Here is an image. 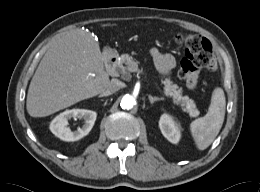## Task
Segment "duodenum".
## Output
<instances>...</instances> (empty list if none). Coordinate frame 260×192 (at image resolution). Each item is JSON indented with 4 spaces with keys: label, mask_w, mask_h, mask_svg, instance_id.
Returning <instances> with one entry per match:
<instances>
[{
    "label": "duodenum",
    "mask_w": 260,
    "mask_h": 192,
    "mask_svg": "<svg viewBox=\"0 0 260 192\" xmlns=\"http://www.w3.org/2000/svg\"><path fill=\"white\" fill-rule=\"evenodd\" d=\"M117 57L115 55H108L105 58V66L108 72H113L116 64H117Z\"/></svg>",
    "instance_id": "410a0bca"
}]
</instances>
